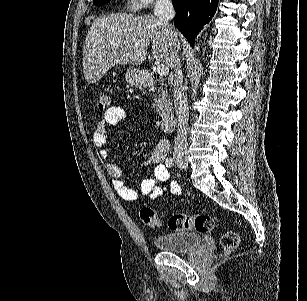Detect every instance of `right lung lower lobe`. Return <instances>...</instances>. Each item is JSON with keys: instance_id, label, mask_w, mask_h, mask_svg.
Here are the masks:
<instances>
[{"instance_id": "obj_1", "label": "right lung lower lobe", "mask_w": 307, "mask_h": 301, "mask_svg": "<svg viewBox=\"0 0 307 301\" xmlns=\"http://www.w3.org/2000/svg\"><path fill=\"white\" fill-rule=\"evenodd\" d=\"M175 27L193 45L197 33L214 16L218 0H173Z\"/></svg>"}]
</instances>
